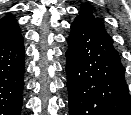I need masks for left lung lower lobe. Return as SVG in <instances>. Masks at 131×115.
<instances>
[{
	"mask_svg": "<svg viewBox=\"0 0 131 115\" xmlns=\"http://www.w3.org/2000/svg\"><path fill=\"white\" fill-rule=\"evenodd\" d=\"M66 51L70 115H131L125 68L112 41L77 16Z\"/></svg>",
	"mask_w": 131,
	"mask_h": 115,
	"instance_id": "obj_1",
	"label": "left lung lower lobe"
}]
</instances>
